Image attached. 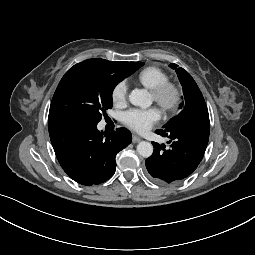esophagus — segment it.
<instances>
[{
  "mask_svg": "<svg viewBox=\"0 0 255 255\" xmlns=\"http://www.w3.org/2000/svg\"><path fill=\"white\" fill-rule=\"evenodd\" d=\"M140 141H141V138L139 136H137V135L132 136V142L133 143H138Z\"/></svg>",
  "mask_w": 255,
  "mask_h": 255,
  "instance_id": "esophagus-1",
  "label": "esophagus"
}]
</instances>
